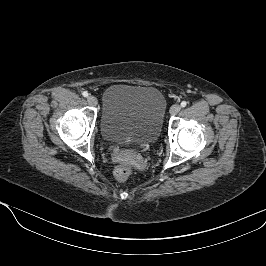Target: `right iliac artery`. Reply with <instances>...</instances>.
<instances>
[{
	"label": "right iliac artery",
	"instance_id": "obj_1",
	"mask_svg": "<svg viewBox=\"0 0 266 266\" xmlns=\"http://www.w3.org/2000/svg\"><path fill=\"white\" fill-rule=\"evenodd\" d=\"M82 95L84 96V97H88V92L87 91H84L83 93H82Z\"/></svg>",
	"mask_w": 266,
	"mask_h": 266
}]
</instances>
